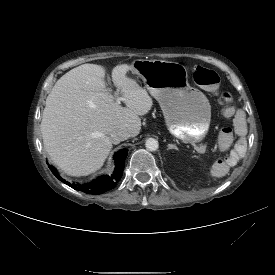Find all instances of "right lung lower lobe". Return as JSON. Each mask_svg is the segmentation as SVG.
Here are the masks:
<instances>
[{
    "mask_svg": "<svg viewBox=\"0 0 275 275\" xmlns=\"http://www.w3.org/2000/svg\"><path fill=\"white\" fill-rule=\"evenodd\" d=\"M128 150L127 149H123L118 151L115 155H114V159H115V170L114 173L111 176L108 175H104L101 176L99 178H97L96 180L90 182L89 184H70L68 182H66L64 179H62L59 174L57 173L56 169L50 165L49 168L52 171V173L61 181H63L64 183L68 184L70 187H72L75 190H80L82 192L88 193V194H101L104 193L108 190H111L112 188H114L116 186V184L118 183V181L120 180L122 174H123V170H124V162L127 156Z\"/></svg>",
    "mask_w": 275,
    "mask_h": 275,
    "instance_id": "1",
    "label": "right lung lower lobe"
}]
</instances>
